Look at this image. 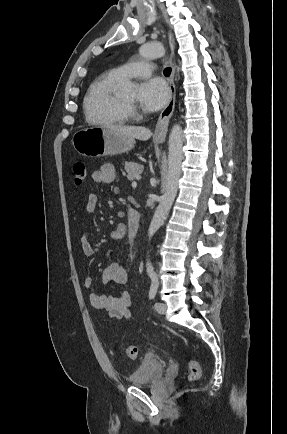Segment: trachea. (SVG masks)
Returning <instances> with one entry per match:
<instances>
[{
  "instance_id": "1",
  "label": "trachea",
  "mask_w": 287,
  "mask_h": 434,
  "mask_svg": "<svg viewBox=\"0 0 287 434\" xmlns=\"http://www.w3.org/2000/svg\"><path fill=\"white\" fill-rule=\"evenodd\" d=\"M172 69L170 67H167L164 69V75L169 77L171 74Z\"/></svg>"
}]
</instances>
